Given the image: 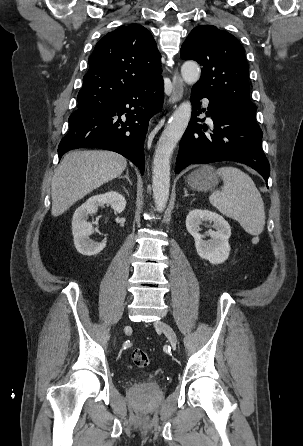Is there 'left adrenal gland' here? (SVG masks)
Returning a JSON list of instances; mask_svg holds the SVG:
<instances>
[{
  "instance_id": "a2214340",
  "label": "left adrenal gland",
  "mask_w": 303,
  "mask_h": 446,
  "mask_svg": "<svg viewBox=\"0 0 303 446\" xmlns=\"http://www.w3.org/2000/svg\"><path fill=\"white\" fill-rule=\"evenodd\" d=\"M187 196H189V194L187 193V189L184 188V197H187Z\"/></svg>"
}]
</instances>
